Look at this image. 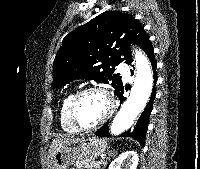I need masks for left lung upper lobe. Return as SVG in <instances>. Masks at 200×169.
<instances>
[{"mask_svg": "<svg viewBox=\"0 0 200 169\" xmlns=\"http://www.w3.org/2000/svg\"><path fill=\"white\" fill-rule=\"evenodd\" d=\"M144 51L150 45L142 25L132 15L106 11L78 27L63 39L53 62V88H60L75 79L110 84L115 93L121 88L115 67L132 63L130 44Z\"/></svg>", "mask_w": 200, "mask_h": 169, "instance_id": "obj_1", "label": "left lung upper lobe"}]
</instances>
